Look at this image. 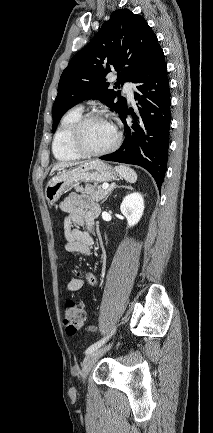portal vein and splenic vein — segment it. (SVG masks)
<instances>
[{"label": "portal vein and splenic vein", "instance_id": "portal-vein-and-splenic-vein-1", "mask_svg": "<svg viewBox=\"0 0 213 433\" xmlns=\"http://www.w3.org/2000/svg\"><path fill=\"white\" fill-rule=\"evenodd\" d=\"M102 188H103L104 190H107V189L109 188V185H108V184H103V185H102Z\"/></svg>", "mask_w": 213, "mask_h": 433}]
</instances>
